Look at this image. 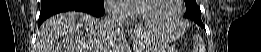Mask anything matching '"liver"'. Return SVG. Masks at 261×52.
Listing matches in <instances>:
<instances>
[{"label": "liver", "instance_id": "1", "mask_svg": "<svg viewBox=\"0 0 261 52\" xmlns=\"http://www.w3.org/2000/svg\"><path fill=\"white\" fill-rule=\"evenodd\" d=\"M122 31L109 29L104 19L80 12L55 15L44 21L37 33L35 52H123ZM133 41L150 35L145 27L128 31Z\"/></svg>", "mask_w": 261, "mask_h": 52}]
</instances>
